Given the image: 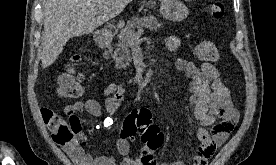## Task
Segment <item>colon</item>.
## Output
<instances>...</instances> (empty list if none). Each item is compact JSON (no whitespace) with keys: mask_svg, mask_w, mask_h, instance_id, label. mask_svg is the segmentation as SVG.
Wrapping results in <instances>:
<instances>
[{"mask_svg":"<svg viewBox=\"0 0 276 165\" xmlns=\"http://www.w3.org/2000/svg\"><path fill=\"white\" fill-rule=\"evenodd\" d=\"M210 10L216 20H222L225 17V7L221 2L213 3ZM196 55L202 61L212 62L219 58V49L213 41L203 40L196 47ZM79 60V56L74 57L59 76L55 88L58 97L72 99L80 96L83 74L77 68ZM46 119L49 122L52 137L58 144L68 145L78 141L80 126L77 123H67L54 112L47 113ZM136 135L141 138L142 148L149 151L158 149L163 143V133L153 122L151 111L148 108L132 110L123 121L121 137L132 138Z\"/></svg>","mask_w":276,"mask_h":165,"instance_id":"5ec220e1","label":"colon"}]
</instances>
